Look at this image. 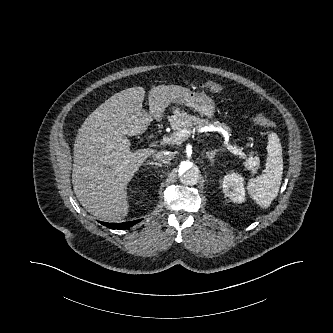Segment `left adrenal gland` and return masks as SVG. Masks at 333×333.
Returning <instances> with one entry per match:
<instances>
[{"label": "left adrenal gland", "instance_id": "obj_1", "mask_svg": "<svg viewBox=\"0 0 333 333\" xmlns=\"http://www.w3.org/2000/svg\"><path fill=\"white\" fill-rule=\"evenodd\" d=\"M217 151L218 150L207 152V156L212 164H214V157H215Z\"/></svg>", "mask_w": 333, "mask_h": 333}]
</instances>
